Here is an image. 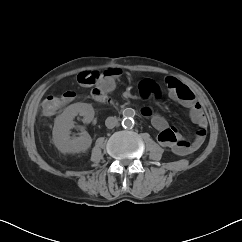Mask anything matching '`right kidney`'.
I'll use <instances>...</instances> for the list:
<instances>
[{"label": "right kidney", "mask_w": 242, "mask_h": 242, "mask_svg": "<svg viewBox=\"0 0 242 242\" xmlns=\"http://www.w3.org/2000/svg\"><path fill=\"white\" fill-rule=\"evenodd\" d=\"M94 114L91 104L78 102L69 105L56 117L52 132L53 143L61 153H80L90 148L92 139L86 131H83L80 137L73 139L70 137V133L75 126L73 122L75 116H83V122L90 123Z\"/></svg>", "instance_id": "ca27d5eb"}]
</instances>
